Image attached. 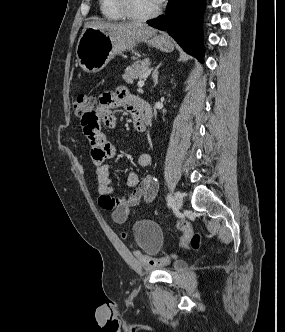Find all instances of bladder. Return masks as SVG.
Listing matches in <instances>:
<instances>
[{"label": "bladder", "mask_w": 285, "mask_h": 332, "mask_svg": "<svg viewBox=\"0 0 285 332\" xmlns=\"http://www.w3.org/2000/svg\"><path fill=\"white\" fill-rule=\"evenodd\" d=\"M133 242L137 249L144 253H155L162 243V231L159 225L151 220H142L133 227ZM183 261H175L172 269L181 271L186 268Z\"/></svg>", "instance_id": "1"}]
</instances>
